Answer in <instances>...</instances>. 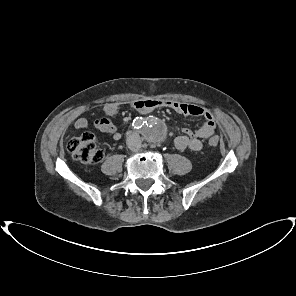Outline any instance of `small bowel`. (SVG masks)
Returning <instances> with one entry per match:
<instances>
[{
  "label": "small bowel",
  "instance_id": "c3829d8e",
  "mask_svg": "<svg viewBox=\"0 0 296 296\" xmlns=\"http://www.w3.org/2000/svg\"><path fill=\"white\" fill-rule=\"evenodd\" d=\"M133 108L140 114H148L156 109L169 108L178 114L202 116L205 119L203 125L195 131L184 129L183 134L175 137L172 141V146L178 150L189 149L191 151H199L202 149V140L214 134L216 123L213 114L206 108L177 102L164 100H138L132 104ZM102 112L108 117H114L119 113V106L116 103H107L104 105ZM86 119H78L75 127L78 129L87 127ZM94 126L101 132L112 134L115 137L117 134L116 125L107 118H99L94 121Z\"/></svg>",
  "mask_w": 296,
  "mask_h": 296
}]
</instances>
